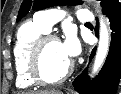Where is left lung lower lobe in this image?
I'll list each match as a JSON object with an SVG mask.
<instances>
[{
    "label": "left lung lower lobe",
    "mask_w": 121,
    "mask_h": 94,
    "mask_svg": "<svg viewBox=\"0 0 121 94\" xmlns=\"http://www.w3.org/2000/svg\"><path fill=\"white\" fill-rule=\"evenodd\" d=\"M110 21L111 44L107 59L98 76L90 81L85 69L74 81L80 94H116L121 75V5L106 15ZM96 48L92 50L91 57Z\"/></svg>",
    "instance_id": "1"
}]
</instances>
